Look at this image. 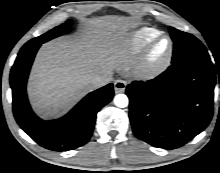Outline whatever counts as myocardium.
I'll return each instance as SVG.
<instances>
[{"mask_svg":"<svg viewBox=\"0 0 220 173\" xmlns=\"http://www.w3.org/2000/svg\"><path fill=\"white\" fill-rule=\"evenodd\" d=\"M162 41L167 42L166 52L158 62L151 61V53ZM173 55V42L166 35H159L150 41L139 53L135 63V74L143 79H151L160 75L170 64Z\"/></svg>","mask_w":220,"mask_h":173,"instance_id":"1","label":"myocardium"}]
</instances>
